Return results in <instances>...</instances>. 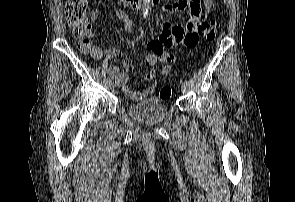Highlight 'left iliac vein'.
Wrapping results in <instances>:
<instances>
[{"instance_id": "obj_1", "label": "left iliac vein", "mask_w": 295, "mask_h": 202, "mask_svg": "<svg viewBox=\"0 0 295 202\" xmlns=\"http://www.w3.org/2000/svg\"><path fill=\"white\" fill-rule=\"evenodd\" d=\"M181 91H182L183 93H187V92L189 91V85L183 83V84L181 85Z\"/></svg>"}]
</instances>
